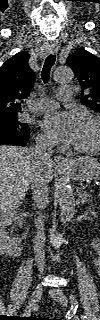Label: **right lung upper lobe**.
I'll return each mask as SVG.
<instances>
[{"label":"right lung upper lobe","mask_w":100,"mask_h":320,"mask_svg":"<svg viewBox=\"0 0 100 320\" xmlns=\"http://www.w3.org/2000/svg\"><path fill=\"white\" fill-rule=\"evenodd\" d=\"M29 54L20 52L0 68V119L17 117L22 99L29 95L35 73L28 65Z\"/></svg>","instance_id":"cb5924a9"}]
</instances>
